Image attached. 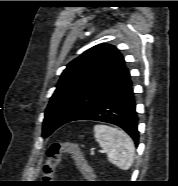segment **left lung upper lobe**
<instances>
[{
  "label": "left lung upper lobe",
  "mask_w": 178,
  "mask_h": 186,
  "mask_svg": "<svg viewBox=\"0 0 178 186\" xmlns=\"http://www.w3.org/2000/svg\"><path fill=\"white\" fill-rule=\"evenodd\" d=\"M129 81V70L116 47L100 44L87 50L63 71L45 111L43 137Z\"/></svg>",
  "instance_id": "left-lung-upper-lobe-1"
}]
</instances>
